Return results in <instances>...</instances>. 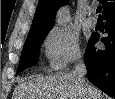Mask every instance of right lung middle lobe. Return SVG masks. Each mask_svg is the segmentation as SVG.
<instances>
[{
  "label": "right lung middle lobe",
  "mask_w": 115,
  "mask_h": 99,
  "mask_svg": "<svg viewBox=\"0 0 115 99\" xmlns=\"http://www.w3.org/2000/svg\"><path fill=\"white\" fill-rule=\"evenodd\" d=\"M48 33L28 36L24 44L19 66L16 73H20L39 59L40 46Z\"/></svg>",
  "instance_id": "obj_1"
}]
</instances>
